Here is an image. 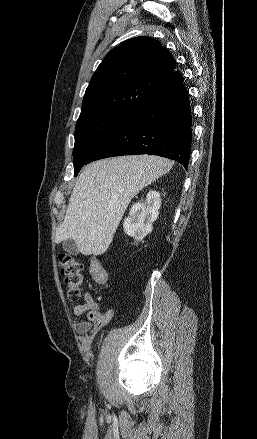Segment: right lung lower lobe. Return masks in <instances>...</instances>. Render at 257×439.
I'll return each instance as SVG.
<instances>
[{
  "instance_id": "right-lung-lower-lobe-1",
  "label": "right lung lower lobe",
  "mask_w": 257,
  "mask_h": 439,
  "mask_svg": "<svg viewBox=\"0 0 257 439\" xmlns=\"http://www.w3.org/2000/svg\"><path fill=\"white\" fill-rule=\"evenodd\" d=\"M191 126L188 92L182 82L127 116L99 144L85 164L113 156L152 154L173 159L187 168Z\"/></svg>"
}]
</instances>
